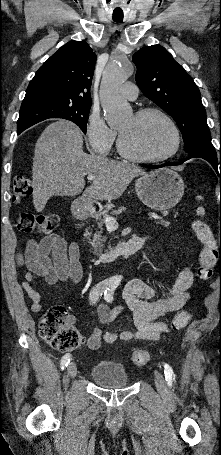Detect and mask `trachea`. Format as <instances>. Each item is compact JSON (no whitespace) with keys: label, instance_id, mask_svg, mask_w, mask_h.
I'll list each match as a JSON object with an SVG mask.
<instances>
[{"label":"trachea","instance_id":"1","mask_svg":"<svg viewBox=\"0 0 221 455\" xmlns=\"http://www.w3.org/2000/svg\"><path fill=\"white\" fill-rule=\"evenodd\" d=\"M113 20H114L115 22H119V23H121V22L123 21V19H117V18H114Z\"/></svg>","mask_w":221,"mask_h":455}]
</instances>
